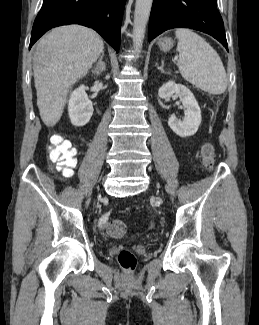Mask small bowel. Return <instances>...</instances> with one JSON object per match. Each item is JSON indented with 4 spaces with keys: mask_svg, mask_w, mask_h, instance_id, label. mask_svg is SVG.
Instances as JSON below:
<instances>
[{
    "mask_svg": "<svg viewBox=\"0 0 259 325\" xmlns=\"http://www.w3.org/2000/svg\"><path fill=\"white\" fill-rule=\"evenodd\" d=\"M107 218H108L107 215H103V216L100 218L99 224H100L101 227H104Z\"/></svg>",
    "mask_w": 259,
    "mask_h": 325,
    "instance_id": "small-bowel-1",
    "label": "small bowel"
}]
</instances>
